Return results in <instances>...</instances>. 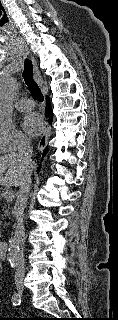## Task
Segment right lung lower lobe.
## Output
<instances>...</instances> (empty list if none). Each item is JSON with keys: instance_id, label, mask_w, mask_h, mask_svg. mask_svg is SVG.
I'll return each mask as SVG.
<instances>
[{"instance_id": "obj_1", "label": "right lung lower lobe", "mask_w": 118, "mask_h": 320, "mask_svg": "<svg viewBox=\"0 0 118 320\" xmlns=\"http://www.w3.org/2000/svg\"><path fill=\"white\" fill-rule=\"evenodd\" d=\"M46 104H47L46 111H49V112H50L49 118H50V123H52L53 114H52V108H51V105H50V101L47 100ZM47 151H48V148H46V149L44 150L43 156L46 154ZM42 159H43V158H42Z\"/></svg>"}]
</instances>
